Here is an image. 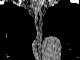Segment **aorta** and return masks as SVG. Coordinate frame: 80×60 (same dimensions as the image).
Returning <instances> with one entry per match:
<instances>
[{"mask_svg":"<svg viewBox=\"0 0 80 60\" xmlns=\"http://www.w3.org/2000/svg\"><path fill=\"white\" fill-rule=\"evenodd\" d=\"M44 49L50 53H61V42L57 37H48L44 40Z\"/></svg>","mask_w":80,"mask_h":60,"instance_id":"1","label":"aorta"}]
</instances>
